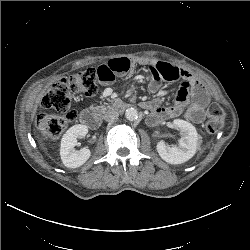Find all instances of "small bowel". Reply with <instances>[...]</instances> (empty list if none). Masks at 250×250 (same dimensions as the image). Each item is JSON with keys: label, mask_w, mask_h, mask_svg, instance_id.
Segmentation results:
<instances>
[{"label": "small bowel", "mask_w": 250, "mask_h": 250, "mask_svg": "<svg viewBox=\"0 0 250 250\" xmlns=\"http://www.w3.org/2000/svg\"><path fill=\"white\" fill-rule=\"evenodd\" d=\"M135 69V62L129 58H115L101 64L97 68L98 79L104 86L110 85L117 76L131 75ZM153 75L148 85L150 93H157L161 88V82L181 81L175 103L171 106H161L160 98L142 105L154 109L149 117L151 123H159L165 119L184 116L194 122L200 123L204 119V108L208 103L207 92L202 83L189 71L175 67L165 62H157L150 65Z\"/></svg>", "instance_id": "c3829d8e"}]
</instances>
